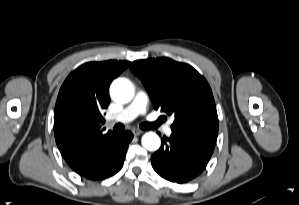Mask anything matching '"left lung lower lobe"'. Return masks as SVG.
Returning <instances> with one entry per match:
<instances>
[{
	"mask_svg": "<svg viewBox=\"0 0 299 205\" xmlns=\"http://www.w3.org/2000/svg\"><path fill=\"white\" fill-rule=\"evenodd\" d=\"M218 130H172L151 157L154 170L170 182L186 183L206 168Z\"/></svg>",
	"mask_w": 299,
	"mask_h": 205,
	"instance_id": "0a47b994",
	"label": "left lung lower lobe"
}]
</instances>
